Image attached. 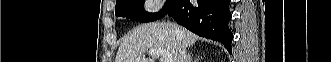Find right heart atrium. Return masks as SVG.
Wrapping results in <instances>:
<instances>
[{"label": "right heart atrium", "instance_id": "right-heart-atrium-1", "mask_svg": "<svg viewBox=\"0 0 331 62\" xmlns=\"http://www.w3.org/2000/svg\"><path fill=\"white\" fill-rule=\"evenodd\" d=\"M146 6L148 11L152 13L160 11L163 7L161 1H147Z\"/></svg>", "mask_w": 331, "mask_h": 62}]
</instances>
